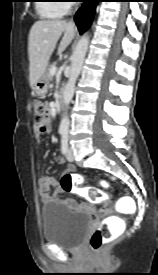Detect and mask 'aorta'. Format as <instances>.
Wrapping results in <instances>:
<instances>
[{"mask_svg":"<svg viewBox=\"0 0 158 275\" xmlns=\"http://www.w3.org/2000/svg\"><path fill=\"white\" fill-rule=\"evenodd\" d=\"M88 44H89V37L86 34H84L79 40L76 46V49L71 57L70 75L63 93V102L65 106V111L68 109V106L73 98L75 83L82 69V65L88 49ZM68 130H69V119L65 112L60 122L59 131L61 133H67Z\"/></svg>","mask_w":158,"mask_h":275,"instance_id":"762f6f07","label":"aorta"}]
</instances>
